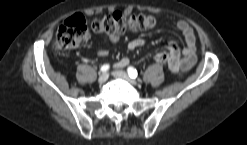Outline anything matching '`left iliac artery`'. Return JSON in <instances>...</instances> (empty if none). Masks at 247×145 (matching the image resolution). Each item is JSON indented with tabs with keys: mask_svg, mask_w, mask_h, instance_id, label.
<instances>
[{
	"mask_svg": "<svg viewBox=\"0 0 247 145\" xmlns=\"http://www.w3.org/2000/svg\"><path fill=\"white\" fill-rule=\"evenodd\" d=\"M127 72L129 76L133 79H135L138 76V72L134 67H131V66L128 67Z\"/></svg>",
	"mask_w": 247,
	"mask_h": 145,
	"instance_id": "left-iliac-artery-1",
	"label": "left iliac artery"
}]
</instances>
